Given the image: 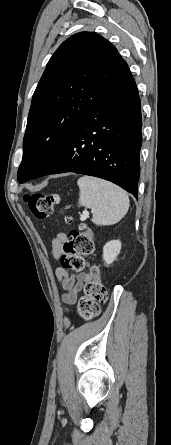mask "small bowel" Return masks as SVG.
<instances>
[{
  "label": "small bowel",
  "mask_w": 171,
  "mask_h": 445,
  "mask_svg": "<svg viewBox=\"0 0 171 445\" xmlns=\"http://www.w3.org/2000/svg\"><path fill=\"white\" fill-rule=\"evenodd\" d=\"M67 239V234L62 232L57 234L50 244V256L52 259L60 261L64 254V244ZM56 277L61 284L65 293L62 295V300L67 304H73L84 284L91 279V275L86 271L68 273L63 268H57L55 270Z\"/></svg>",
  "instance_id": "obj_1"
}]
</instances>
